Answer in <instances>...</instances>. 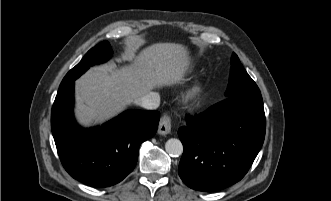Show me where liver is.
Segmentation results:
<instances>
[{
    "instance_id": "obj_1",
    "label": "liver",
    "mask_w": 331,
    "mask_h": 201,
    "mask_svg": "<svg viewBox=\"0 0 331 201\" xmlns=\"http://www.w3.org/2000/svg\"><path fill=\"white\" fill-rule=\"evenodd\" d=\"M130 65L94 67L76 81V119L81 125L102 123L153 88L178 83L189 67L187 49L175 43H156Z\"/></svg>"
}]
</instances>
